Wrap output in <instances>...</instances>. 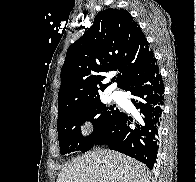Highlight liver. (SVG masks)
Here are the masks:
<instances>
[{
  "label": "liver",
  "instance_id": "liver-1",
  "mask_svg": "<svg viewBox=\"0 0 196 182\" xmlns=\"http://www.w3.org/2000/svg\"><path fill=\"white\" fill-rule=\"evenodd\" d=\"M150 182L147 167L116 151L96 149L62 168L56 182Z\"/></svg>",
  "mask_w": 196,
  "mask_h": 182
}]
</instances>
